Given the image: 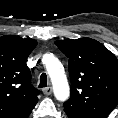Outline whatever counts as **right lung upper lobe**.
Returning a JSON list of instances; mask_svg holds the SVG:
<instances>
[{"label": "right lung upper lobe", "mask_w": 118, "mask_h": 118, "mask_svg": "<svg viewBox=\"0 0 118 118\" xmlns=\"http://www.w3.org/2000/svg\"><path fill=\"white\" fill-rule=\"evenodd\" d=\"M36 45L34 39L0 37V118H27L38 102L26 65Z\"/></svg>", "instance_id": "cb5924a9"}]
</instances>
